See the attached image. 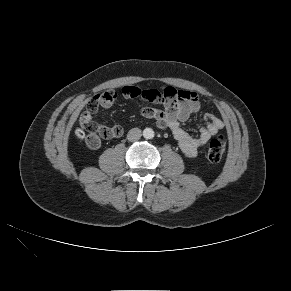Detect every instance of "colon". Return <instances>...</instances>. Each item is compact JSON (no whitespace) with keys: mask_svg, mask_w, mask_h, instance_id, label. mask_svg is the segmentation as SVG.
Here are the masks:
<instances>
[{"mask_svg":"<svg viewBox=\"0 0 291 291\" xmlns=\"http://www.w3.org/2000/svg\"><path fill=\"white\" fill-rule=\"evenodd\" d=\"M155 94H150V99L153 100ZM100 98L98 96L90 99L86 106V112L83 113L80 119L81 129H77L76 135L78 137H85L86 143L96 145L99 136L104 138H115L121 134V130L117 127H107L99 124L93 118L94 113L99 106ZM226 150V140L223 136L210 141L207 146L206 156L212 163L219 162Z\"/></svg>","mask_w":291,"mask_h":291,"instance_id":"obj_1","label":"colon"}]
</instances>
